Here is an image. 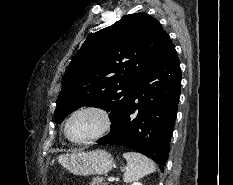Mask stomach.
Listing matches in <instances>:
<instances>
[{"instance_id":"0dacf381","label":"stomach","mask_w":233,"mask_h":185,"mask_svg":"<svg viewBox=\"0 0 233 185\" xmlns=\"http://www.w3.org/2000/svg\"><path fill=\"white\" fill-rule=\"evenodd\" d=\"M59 163L70 173L77 176L105 174L112 170L114 166L113 157L103 149L77 150L63 154L59 156Z\"/></svg>"}]
</instances>
